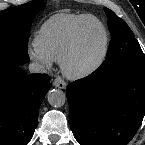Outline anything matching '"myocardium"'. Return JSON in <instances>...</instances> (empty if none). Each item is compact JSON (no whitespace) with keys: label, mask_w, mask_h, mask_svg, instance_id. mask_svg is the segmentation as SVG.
<instances>
[{"label":"myocardium","mask_w":145,"mask_h":145,"mask_svg":"<svg viewBox=\"0 0 145 145\" xmlns=\"http://www.w3.org/2000/svg\"><path fill=\"white\" fill-rule=\"evenodd\" d=\"M90 21L96 22L103 32V42L99 54L86 64H78L83 47V31ZM109 49V33L102 21L96 17L84 20L76 29L74 41L61 60V68L63 73L71 79H82L93 74L104 63Z\"/></svg>","instance_id":"obj_1"}]
</instances>
